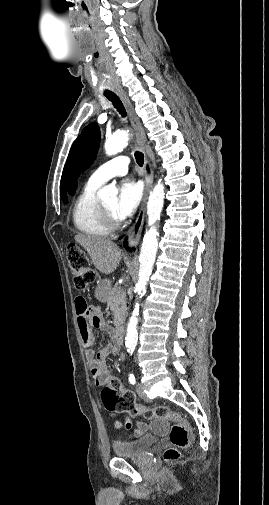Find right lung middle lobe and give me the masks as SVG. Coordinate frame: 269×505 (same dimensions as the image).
<instances>
[{
	"label": "right lung middle lobe",
	"instance_id": "1",
	"mask_svg": "<svg viewBox=\"0 0 269 505\" xmlns=\"http://www.w3.org/2000/svg\"><path fill=\"white\" fill-rule=\"evenodd\" d=\"M64 203H68V201L66 200V201H64Z\"/></svg>",
	"mask_w": 269,
	"mask_h": 505
}]
</instances>
